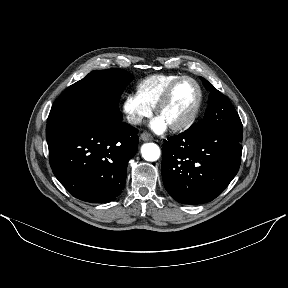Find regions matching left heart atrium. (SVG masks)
Listing matches in <instances>:
<instances>
[{
  "mask_svg": "<svg viewBox=\"0 0 288 288\" xmlns=\"http://www.w3.org/2000/svg\"><path fill=\"white\" fill-rule=\"evenodd\" d=\"M151 126L158 133L164 132L168 127V125L159 117L152 122Z\"/></svg>",
  "mask_w": 288,
  "mask_h": 288,
  "instance_id": "left-heart-atrium-1",
  "label": "left heart atrium"
}]
</instances>
